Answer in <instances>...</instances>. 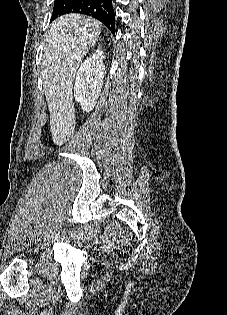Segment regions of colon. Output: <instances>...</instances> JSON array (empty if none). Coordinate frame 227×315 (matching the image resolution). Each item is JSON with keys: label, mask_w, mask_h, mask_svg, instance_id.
<instances>
[{"label": "colon", "mask_w": 227, "mask_h": 315, "mask_svg": "<svg viewBox=\"0 0 227 315\" xmlns=\"http://www.w3.org/2000/svg\"><path fill=\"white\" fill-rule=\"evenodd\" d=\"M123 239L125 242H127L130 239V234L128 232H125L123 235Z\"/></svg>", "instance_id": "5ec220e1"}]
</instances>
